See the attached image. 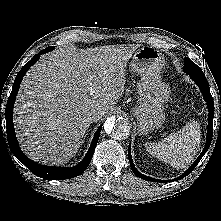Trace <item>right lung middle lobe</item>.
<instances>
[{
    "mask_svg": "<svg viewBox=\"0 0 221 221\" xmlns=\"http://www.w3.org/2000/svg\"><path fill=\"white\" fill-rule=\"evenodd\" d=\"M54 47H48V49L53 50Z\"/></svg>",
    "mask_w": 221,
    "mask_h": 221,
    "instance_id": "right-lung-middle-lobe-1",
    "label": "right lung middle lobe"
}]
</instances>
